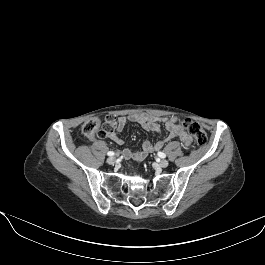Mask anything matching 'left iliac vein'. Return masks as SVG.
<instances>
[{"label":"left iliac vein","mask_w":265,"mask_h":265,"mask_svg":"<svg viewBox=\"0 0 265 265\" xmlns=\"http://www.w3.org/2000/svg\"><path fill=\"white\" fill-rule=\"evenodd\" d=\"M159 165H160L162 168H166V167L169 165V162H168V160H166V159H162V160H160Z\"/></svg>","instance_id":"left-iliac-vein-1"}]
</instances>
